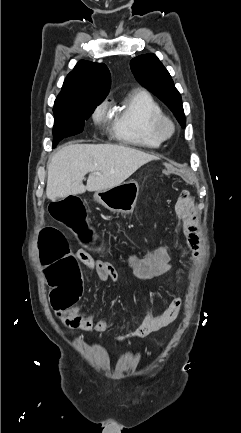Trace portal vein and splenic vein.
<instances>
[{
	"label": "portal vein and splenic vein",
	"mask_w": 241,
	"mask_h": 433,
	"mask_svg": "<svg viewBox=\"0 0 241 433\" xmlns=\"http://www.w3.org/2000/svg\"><path fill=\"white\" fill-rule=\"evenodd\" d=\"M94 174L99 175L100 173L99 172H94Z\"/></svg>",
	"instance_id": "18ae733b"
}]
</instances>
